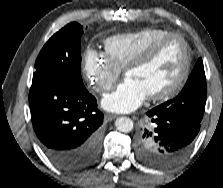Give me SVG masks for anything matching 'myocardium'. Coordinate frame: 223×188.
Here are the masks:
<instances>
[{
    "label": "myocardium",
    "mask_w": 223,
    "mask_h": 188,
    "mask_svg": "<svg viewBox=\"0 0 223 188\" xmlns=\"http://www.w3.org/2000/svg\"><path fill=\"white\" fill-rule=\"evenodd\" d=\"M177 38L182 42L184 48V58L181 70L176 78V80L165 90L155 93L148 96V99L151 101H164L173 96H175L184 86L190 72L191 66V51L188 41L183 35L177 32H169L162 35L154 42L146 46L142 51L137 53L125 66L124 73L125 75L132 69L139 67L150 60L157 50L169 39Z\"/></svg>",
    "instance_id": "myocardium-1"
}]
</instances>
